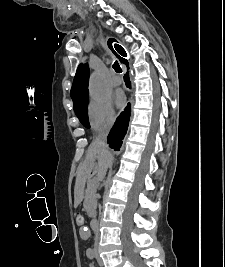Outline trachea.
<instances>
[{"mask_svg":"<svg viewBox=\"0 0 225 267\" xmlns=\"http://www.w3.org/2000/svg\"><path fill=\"white\" fill-rule=\"evenodd\" d=\"M113 68L117 73H121L122 72V69H121V67H120V65H119V63L117 61L114 62Z\"/></svg>","mask_w":225,"mask_h":267,"instance_id":"1","label":"trachea"}]
</instances>
